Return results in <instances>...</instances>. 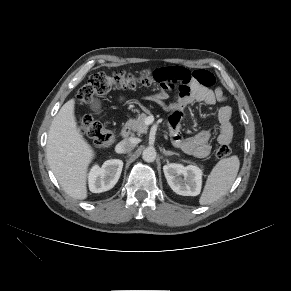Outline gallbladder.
Returning <instances> with one entry per match:
<instances>
[{"instance_id":"gallbladder-1","label":"gallbladder","mask_w":291,"mask_h":291,"mask_svg":"<svg viewBox=\"0 0 291 291\" xmlns=\"http://www.w3.org/2000/svg\"><path fill=\"white\" fill-rule=\"evenodd\" d=\"M90 109L94 111L96 114H100L102 111V103L99 99L94 98L90 101Z\"/></svg>"}]
</instances>
